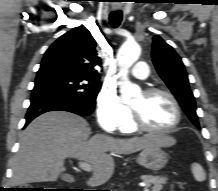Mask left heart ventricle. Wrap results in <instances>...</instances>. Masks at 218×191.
I'll return each instance as SVG.
<instances>
[{
  "label": "left heart ventricle",
  "mask_w": 218,
  "mask_h": 191,
  "mask_svg": "<svg viewBox=\"0 0 218 191\" xmlns=\"http://www.w3.org/2000/svg\"><path fill=\"white\" fill-rule=\"evenodd\" d=\"M142 118L146 125L152 128H167L176 118V112L163 95L145 96L143 93L130 105Z\"/></svg>",
  "instance_id": "b2bd125f"
}]
</instances>
